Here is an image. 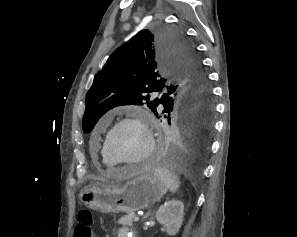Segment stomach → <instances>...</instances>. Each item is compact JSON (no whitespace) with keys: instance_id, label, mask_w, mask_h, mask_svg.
Listing matches in <instances>:
<instances>
[{"instance_id":"stomach-1","label":"stomach","mask_w":297,"mask_h":237,"mask_svg":"<svg viewBox=\"0 0 297 237\" xmlns=\"http://www.w3.org/2000/svg\"><path fill=\"white\" fill-rule=\"evenodd\" d=\"M167 186L154 171L144 173L126 182L122 187L87 186L80 193L81 202L94 210L107 213H134L159 201Z\"/></svg>"}]
</instances>
